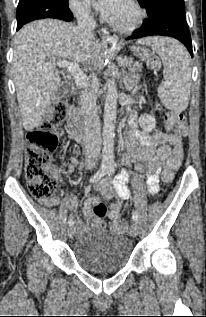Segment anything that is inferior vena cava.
<instances>
[{"mask_svg": "<svg viewBox=\"0 0 206 317\" xmlns=\"http://www.w3.org/2000/svg\"><path fill=\"white\" fill-rule=\"evenodd\" d=\"M77 19V33L81 42H91L95 20L90 15V6L78 5L75 9ZM81 111L83 116V145L85 148L86 162L92 166L97 161L101 150L100 120L96 107V96L91 89L80 92Z\"/></svg>", "mask_w": 206, "mask_h": 317, "instance_id": "1", "label": "inferior vena cava"}]
</instances>
